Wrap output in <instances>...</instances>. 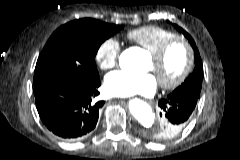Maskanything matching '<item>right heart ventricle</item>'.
I'll use <instances>...</instances> for the list:
<instances>
[{
  "instance_id": "e07e8e85",
  "label": "right heart ventricle",
  "mask_w": 240,
  "mask_h": 160,
  "mask_svg": "<svg viewBox=\"0 0 240 160\" xmlns=\"http://www.w3.org/2000/svg\"><path fill=\"white\" fill-rule=\"evenodd\" d=\"M174 37L177 36L173 31L159 26H144L134 29L127 34V38L131 42L149 53L157 51L164 42Z\"/></svg>"
}]
</instances>
